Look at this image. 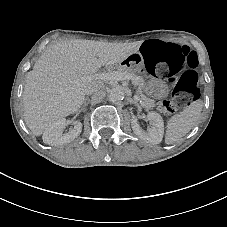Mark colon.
<instances>
[{"instance_id":"colon-1","label":"colon","mask_w":227,"mask_h":227,"mask_svg":"<svg viewBox=\"0 0 227 227\" xmlns=\"http://www.w3.org/2000/svg\"><path fill=\"white\" fill-rule=\"evenodd\" d=\"M140 55L148 73L175 83L172 99L161 105L165 114L199 98L197 55L188 47L149 40L142 45Z\"/></svg>"}]
</instances>
